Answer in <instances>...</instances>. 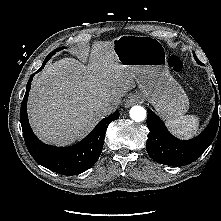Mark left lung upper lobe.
<instances>
[{
	"label": "left lung upper lobe",
	"instance_id": "1",
	"mask_svg": "<svg viewBox=\"0 0 221 221\" xmlns=\"http://www.w3.org/2000/svg\"><path fill=\"white\" fill-rule=\"evenodd\" d=\"M193 54H194V58L197 60V57H196L195 53H193Z\"/></svg>",
	"mask_w": 221,
	"mask_h": 221
}]
</instances>
